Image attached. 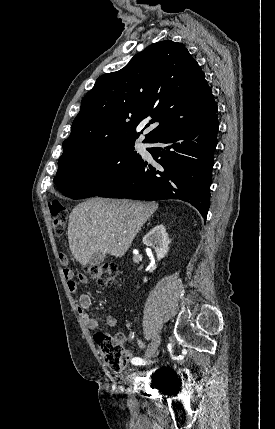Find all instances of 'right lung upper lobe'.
<instances>
[{
  "mask_svg": "<svg viewBox=\"0 0 275 429\" xmlns=\"http://www.w3.org/2000/svg\"><path fill=\"white\" fill-rule=\"evenodd\" d=\"M215 111L205 74L184 45L154 43L121 70L96 80L81 101L58 166L119 142H135L140 135L136 127L147 118L154 129L143 142Z\"/></svg>",
  "mask_w": 275,
  "mask_h": 429,
  "instance_id": "1",
  "label": "right lung upper lobe"
}]
</instances>
